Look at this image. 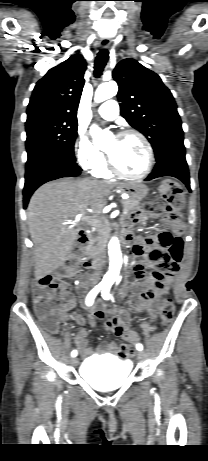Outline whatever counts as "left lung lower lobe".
Masks as SVG:
<instances>
[{
	"label": "left lung lower lobe",
	"mask_w": 208,
	"mask_h": 461,
	"mask_svg": "<svg viewBox=\"0 0 208 461\" xmlns=\"http://www.w3.org/2000/svg\"><path fill=\"white\" fill-rule=\"evenodd\" d=\"M156 160L155 168L145 181L162 176H172L181 180L188 190L191 191L188 165L185 159V148L169 149Z\"/></svg>",
	"instance_id": "obj_1"
}]
</instances>
